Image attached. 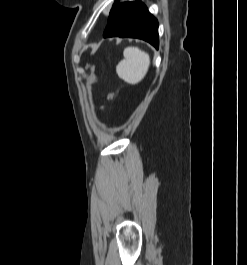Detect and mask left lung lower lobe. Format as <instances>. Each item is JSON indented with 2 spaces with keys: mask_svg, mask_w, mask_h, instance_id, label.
<instances>
[{
  "mask_svg": "<svg viewBox=\"0 0 247 265\" xmlns=\"http://www.w3.org/2000/svg\"><path fill=\"white\" fill-rule=\"evenodd\" d=\"M104 37L143 39L158 48V22L141 1L114 4L104 31Z\"/></svg>",
  "mask_w": 247,
  "mask_h": 265,
  "instance_id": "1",
  "label": "left lung lower lobe"
}]
</instances>
